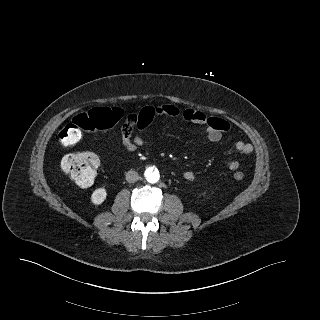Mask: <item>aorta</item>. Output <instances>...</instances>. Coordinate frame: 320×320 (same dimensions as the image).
Returning <instances> with one entry per match:
<instances>
[{
  "label": "aorta",
  "instance_id": "aorta-1",
  "mask_svg": "<svg viewBox=\"0 0 320 320\" xmlns=\"http://www.w3.org/2000/svg\"><path fill=\"white\" fill-rule=\"evenodd\" d=\"M145 177H146V180L149 182V183H156L159 181L160 179V174H159V171L156 170V169H153V168H148L146 171H145Z\"/></svg>",
  "mask_w": 320,
  "mask_h": 320
}]
</instances>
